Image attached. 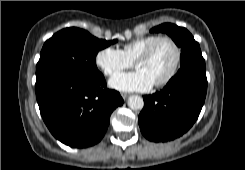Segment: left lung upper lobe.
Listing matches in <instances>:
<instances>
[{
  "instance_id": "obj_1",
  "label": "left lung upper lobe",
  "mask_w": 245,
  "mask_h": 170,
  "mask_svg": "<svg viewBox=\"0 0 245 170\" xmlns=\"http://www.w3.org/2000/svg\"><path fill=\"white\" fill-rule=\"evenodd\" d=\"M151 32L168 34L176 45L181 48V65L179 70L194 69L205 71V60L202 57L199 44L187 29L171 23H164L152 28Z\"/></svg>"
}]
</instances>
